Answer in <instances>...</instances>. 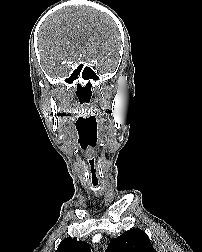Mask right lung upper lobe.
I'll return each mask as SVG.
<instances>
[{"mask_svg": "<svg viewBox=\"0 0 202 252\" xmlns=\"http://www.w3.org/2000/svg\"><path fill=\"white\" fill-rule=\"evenodd\" d=\"M56 252H91V250L86 242L66 238L62 240Z\"/></svg>", "mask_w": 202, "mask_h": 252, "instance_id": "right-lung-upper-lobe-1", "label": "right lung upper lobe"}]
</instances>
